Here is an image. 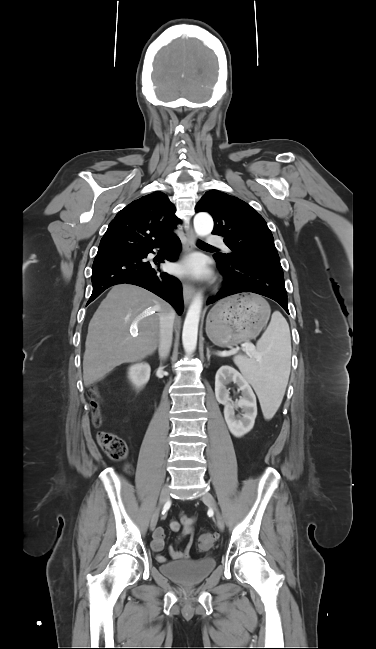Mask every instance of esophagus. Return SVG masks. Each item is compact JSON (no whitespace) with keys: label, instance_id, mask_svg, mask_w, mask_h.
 Wrapping results in <instances>:
<instances>
[{"label":"esophagus","instance_id":"obj_1","mask_svg":"<svg viewBox=\"0 0 376 649\" xmlns=\"http://www.w3.org/2000/svg\"><path fill=\"white\" fill-rule=\"evenodd\" d=\"M186 239H187V245H186V253H189L193 250L196 244V234L193 231L192 228H187L186 230ZM195 294V288L193 285L184 283L183 284V295H184V301L185 304L188 305L192 298L194 297Z\"/></svg>","mask_w":376,"mask_h":649}]
</instances>
